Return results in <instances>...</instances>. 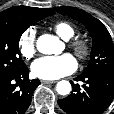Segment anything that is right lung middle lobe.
Wrapping results in <instances>:
<instances>
[{
    "label": "right lung middle lobe",
    "instance_id": "dd1d6c3e",
    "mask_svg": "<svg viewBox=\"0 0 114 114\" xmlns=\"http://www.w3.org/2000/svg\"><path fill=\"white\" fill-rule=\"evenodd\" d=\"M33 23L0 21V75H11L26 67L18 43L22 33Z\"/></svg>",
    "mask_w": 114,
    "mask_h": 114
}]
</instances>
